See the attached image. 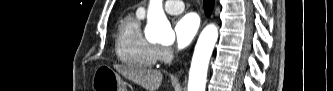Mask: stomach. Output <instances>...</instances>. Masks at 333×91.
Masks as SVG:
<instances>
[{"instance_id": "stomach-1", "label": "stomach", "mask_w": 333, "mask_h": 91, "mask_svg": "<svg viewBox=\"0 0 333 91\" xmlns=\"http://www.w3.org/2000/svg\"><path fill=\"white\" fill-rule=\"evenodd\" d=\"M93 91H126L120 75L107 65L99 66L92 79Z\"/></svg>"}]
</instances>
